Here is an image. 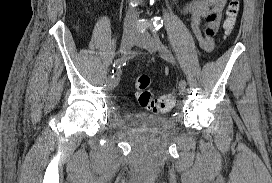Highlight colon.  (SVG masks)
Here are the masks:
<instances>
[{
    "mask_svg": "<svg viewBox=\"0 0 272 183\" xmlns=\"http://www.w3.org/2000/svg\"><path fill=\"white\" fill-rule=\"evenodd\" d=\"M240 2L239 0H230L226 8V17L223 24L225 34H230L235 26L237 16L239 13ZM151 84L149 75L142 74L135 80V88L137 90V97L142 107L152 109L156 112H167L176 103V96L174 94H164L155 97L148 89Z\"/></svg>",
    "mask_w": 272,
    "mask_h": 183,
    "instance_id": "5ec220e1",
    "label": "colon"
}]
</instances>
